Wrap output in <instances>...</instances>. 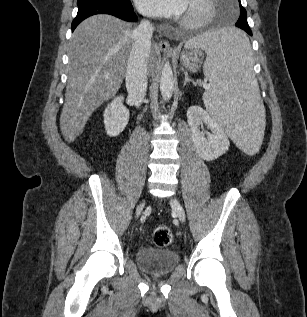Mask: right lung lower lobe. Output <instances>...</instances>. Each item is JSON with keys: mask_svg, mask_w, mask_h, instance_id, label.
<instances>
[{"mask_svg": "<svg viewBox=\"0 0 307 317\" xmlns=\"http://www.w3.org/2000/svg\"><path fill=\"white\" fill-rule=\"evenodd\" d=\"M96 14H109L125 21H137V16L130 2L115 5L100 0H91L78 5L77 16L72 22V32L80 22Z\"/></svg>", "mask_w": 307, "mask_h": 317, "instance_id": "right-lung-lower-lobe-1", "label": "right lung lower lobe"}]
</instances>
